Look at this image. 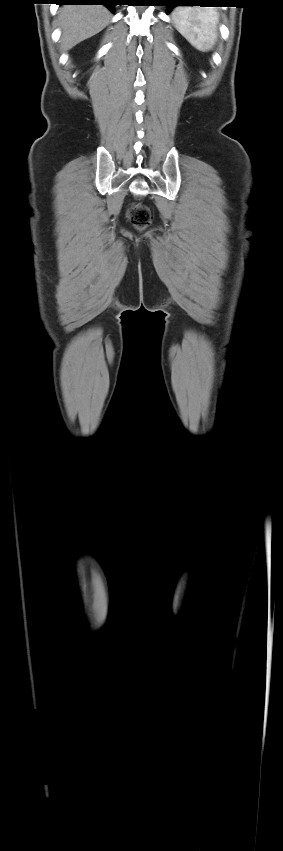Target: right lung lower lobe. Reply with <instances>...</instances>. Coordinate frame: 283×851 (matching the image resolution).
<instances>
[{"label": "right lung lower lobe", "instance_id": "1", "mask_svg": "<svg viewBox=\"0 0 283 851\" xmlns=\"http://www.w3.org/2000/svg\"><path fill=\"white\" fill-rule=\"evenodd\" d=\"M54 2L61 5H105L111 12H114V5L119 0H54Z\"/></svg>", "mask_w": 283, "mask_h": 851}]
</instances>
